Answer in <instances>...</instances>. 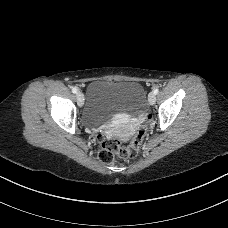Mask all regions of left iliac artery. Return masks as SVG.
I'll return each instance as SVG.
<instances>
[{
  "instance_id": "left-iliac-artery-1",
  "label": "left iliac artery",
  "mask_w": 228,
  "mask_h": 228,
  "mask_svg": "<svg viewBox=\"0 0 228 228\" xmlns=\"http://www.w3.org/2000/svg\"><path fill=\"white\" fill-rule=\"evenodd\" d=\"M153 92H154L155 95L158 94V92H159L158 87H155V88L153 89Z\"/></svg>"
}]
</instances>
